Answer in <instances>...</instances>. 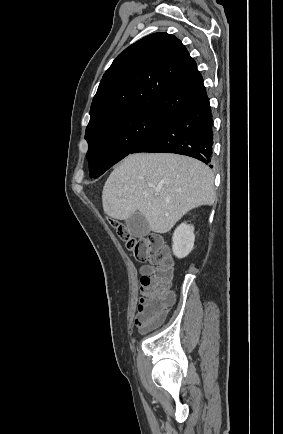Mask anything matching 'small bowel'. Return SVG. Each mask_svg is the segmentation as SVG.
Listing matches in <instances>:
<instances>
[{
    "label": "small bowel",
    "mask_w": 283,
    "mask_h": 434,
    "mask_svg": "<svg viewBox=\"0 0 283 434\" xmlns=\"http://www.w3.org/2000/svg\"><path fill=\"white\" fill-rule=\"evenodd\" d=\"M151 270H152L151 266H142V267H140V273H141L142 276L143 275H148L151 272Z\"/></svg>",
    "instance_id": "c3829d8e"
}]
</instances>
